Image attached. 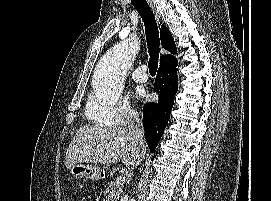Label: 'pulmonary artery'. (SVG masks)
Masks as SVG:
<instances>
[{
	"label": "pulmonary artery",
	"mask_w": 271,
	"mask_h": 201,
	"mask_svg": "<svg viewBox=\"0 0 271 201\" xmlns=\"http://www.w3.org/2000/svg\"><path fill=\"white\" fill-rule=\"evenodd\" d=\"M131 77L135 82H139V83L146 82L148 80V75L146 73V66L143 65L137 68L136 70H134L131 74Z\"/></svg>",
	"instance_id": "e3ab8cb5"
}]
</instances>
